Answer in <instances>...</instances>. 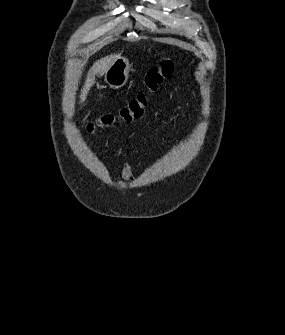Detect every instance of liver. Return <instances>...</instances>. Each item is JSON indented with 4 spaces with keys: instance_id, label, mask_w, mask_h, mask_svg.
<instances>
[{
    "instance_id": "obj_1",
    "label": "liver",
    "mask_w": 285,
    "mask_h": 335,
    "mask_svg": "<svg viewBox=\"0 0 285 335\" xmlns=\"http://www.w3.org/2000/svg\"><path fill=\"white\" fill-rule=\"evenodd\" d=\"M116 58H118L117 54H113V56H106V58H101V60H98V62H95V64H93L90 72H88V74L86 76L84 86H83V88L81 90V94L79 96L80 104H83V102H85V100L87 98V94H88L91 86H93V84L95 82L96 74H100V76H103V74H105L106 70H108L109 66H111V64H113V62H114V60H116Z\"/></svg>"
}]
</instances>
